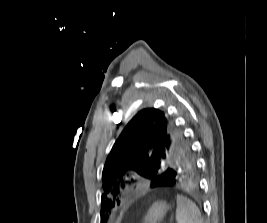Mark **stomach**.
Returning <instances> with one entry per match:
<instances>
[{
	"label": "stomach",
	"mask_w": 267,
	"mask_h": 223,
	"mask_svg": "<svg viewBox=\"0 0 267 223\" xmlns=\"http://www.w3.org/2000/svg\"><path fill=\"white\" fill-rule=\"evenodd\" d=\"M168 209L169 206L166 204V202L161 201L154 203L147 212L145 223L160 222L166 215Z\"/></svg>",
	"instance_id": "0dacf381"
}]
</instances>
